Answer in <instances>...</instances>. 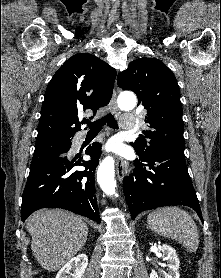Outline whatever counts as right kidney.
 Here are the masks:
<instances>
[{"label":"right kidney","instance_id":"1","mask_svg":"<svg viewBox=\"0 0 221 278\" xmlns=\"http://www.w3.org/2000/svg\"><path fill=\"white\" fill-rule=\"evenodd\" d=\"M88 265L86 254H79L70 259L57 273L55 278H81Z\"/></svg>","mask_w":221,"mask_h":278}]
</instances>
